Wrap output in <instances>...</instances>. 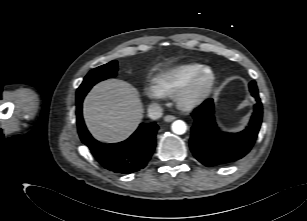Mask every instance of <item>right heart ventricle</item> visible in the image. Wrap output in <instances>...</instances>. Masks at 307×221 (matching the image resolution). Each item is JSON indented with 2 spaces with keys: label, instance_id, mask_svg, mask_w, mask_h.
<instances>
[{
  "label": "right heart ventricle",
  "instance_id": "right-heart-ventricle-1",
  "mask_svg": "<svg viewBox=\"0 0 307 221\" xmlns=\"http://www.w3.org/2000/svg\"><path fill=\"white\" fill-rule=\"evenodd\" d=\"M205 66L200 63H183L155 75L149 87L157 97H169L187 85Z\"/></svg>",
  "mask_w": 307,
  "mask_h": 221
}]
</instances>
